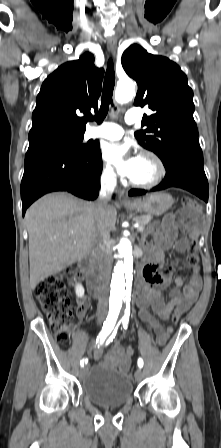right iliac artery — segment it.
<instances>
[{"label":"right iliac artery","mask_w":221,"mask_h":448,"mask_svg":"<svg viewBox=\"0 0 221 448\" xmlns=\"http://www.w3.org/2000/svg\"><path fill=\"white\" fill-rule=\"evenodd\" d=\"M117 316L115 317H107L106 321L103 323V327L101 332L99 333L96 344L101 345L104 343L106 337L113 331V329L117 328L120 324V321L117 323ZM87 359H82L80 361L81 367H83L87 363Z\"/></svg>","instance_id":"right-iliac-artery-1"}]
</instances>
